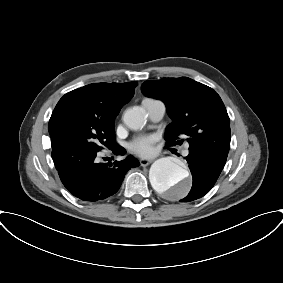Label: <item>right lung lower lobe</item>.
Wrapping results in <instances>:
<instances>
[{
	"label": "right lung lower lobe",
	"instance_id": "1",
	"mask_svg": "<svg viewBox=\"0 0 283 283\" xmlns=\"http://www.w3.org/2000/svg\"><path fill=\"white\" fill-rule=\"evenodd\" d=\"M120 148L116 144L111 150L118 154ZM97 153L84 149L62 161H54L64 186L83 201H101L112 196L119 190L127 171L139 166L133 156L113 164L98 163L95 159Z\"/></svg>",
	"mask_w": 283,
	"mask_h": 283
}]
</instances>
